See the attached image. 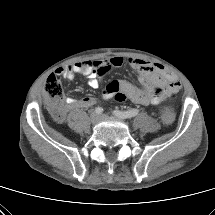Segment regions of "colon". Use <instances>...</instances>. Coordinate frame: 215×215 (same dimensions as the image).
I'll list each match as a JSON object with an SVG mask.
<instances>
[{"mask_svg": "<svg viewBox=\"0 0 215 215\" xmlns=\"http://www.w3.org/2000/svg\"><path fill=\"white\" fill-rule=\"evenodd\" d=\"M44 93L47 105L51 112L59 117L63 112V88L60 78L56 74H51L44 85ZM170 98L175 96V92L168 93ZM159 120L163 124H171L174 121V113L171 110L165 109L162 111Z\"/></svg>", "mask_w": 215, "mask_h": 215, "instance_id": "1", "label": "colon"}]
</instances>
